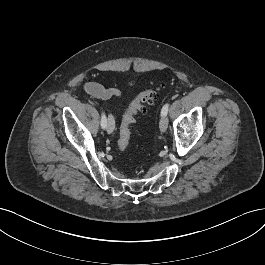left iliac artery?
Returning <instances> with one entry per match:
<instances>
[{
  "label": "left iliac artery",
  "mask_w": 265,
  "mask_h": 265,
  "mask_svg": "<svg viewBox=\"0 0 265 265\" xmlns=\"http://www.w3.org/2000/svg\"><path fill=\"white\" fill-rule=\"evenodd\" d=\"M168 109H169V104L166 103V104L163 106L162 110H161V115H167V113H168Z\"/></svg>",
  "instance_id": "left-iliac-artery-1"
}]
</instances>
